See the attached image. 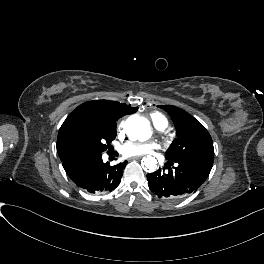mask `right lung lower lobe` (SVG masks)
Wrapping results in <instances>:
<instances>
[{
    "instance_id": "98d812e1",
    "label": "right lung lower lobe",
    "mask_w": 264,
    "mask_h": 264,
    "mask_svg": "<svg viewBox=\"0 0 264 264\" xmlns=\"http://www.w3.org/2000/svg\"><path fill=\"white\" fill-rule=\"evenodd\" d=\"M125 165L126 162L109 166L77 185L90 193L112 191L120 184Z\"/></svg>"
}]
</instances>
